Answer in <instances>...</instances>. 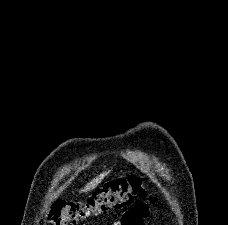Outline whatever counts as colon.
<instances>
[{"mask_svg":"<svg viewBox=\"0 0 228 225\" xmlns=\"http://www.w3.org/2000/svg\"><path fill=\"white\" fill-rule=\"evenodd\" d=\"M146 198H149V192L141 177H123L100 187L83 201H55L46 222L50 225H76L101 212L119 210L130 206L135 199Z\"/></svg>","mask_w":228,"mask_h":225,"instance_id":"obj_1","label":"colon"}]
</instances>
